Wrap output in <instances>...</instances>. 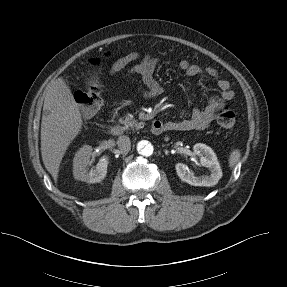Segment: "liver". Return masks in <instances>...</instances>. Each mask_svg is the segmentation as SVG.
Wrapping results in <instances>:
<instances>
[{
    "label": "liver",
    "mask_w": 287,
    "mask_h": 287,
    "mask_svg": "<svg viewBox=\"0 0 287 287\" xmlns=\"http://www.w3.org/2000/svg\"><path fill=\"white\" fill-rule=\"evenodd\" d=\"M83 125L82 115L63 78L46 90L41 122V155L47 171L57 181L62 158Z\"/></svg>",
    "instance_id": "obj_1"
}]
</instances>
